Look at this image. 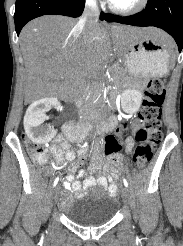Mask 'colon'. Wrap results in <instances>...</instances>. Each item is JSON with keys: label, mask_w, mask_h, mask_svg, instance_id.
<instances>
[{"label": "colon", "mask_w": 183, "mask_h": 246, "mask_svg": "<svg viewBox=\"0 0 183 246\" xmlns=\"http://www.w3.org/2000/svg\"><path fill=\"white\" fill-rule=\"evenodd\" d=\"M166 96L164 81L161 78L152 79L146 88L142 108L139 113V128L136 132V146L133 152V161L137 169H141L152 156L154 149L162 138L161 116L162 105ZM126 123L116 125L114 133H107L104 152L107 157H124L125 148L121 147L117 138H123ZM30 157L38 164L47 162L46 149L24 139Z\"/></svg>", "instance_id": "1"}]
</instances>
